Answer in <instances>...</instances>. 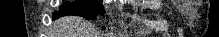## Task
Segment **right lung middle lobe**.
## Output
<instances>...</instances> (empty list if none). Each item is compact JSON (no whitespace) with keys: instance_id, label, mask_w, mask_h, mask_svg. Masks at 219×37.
<instances>
[{"instance_id":"1","label":"right lung middle lobe","mask_w":219,"mask_h":37,"mask_svg":"<svg viewBox=\"0 0 219 37\" xmlns=\"http://www.w3.org/2000/svg\"><path fill=\"white\" fill-rule=\"evenodd\" d=\"M98 14H104V11H102V4L97 1L86 0L74 3L67 2L64 5H61L60 11L54 13V18L65 15H78L89 20Z\"/></svg>"}]
</instances>
